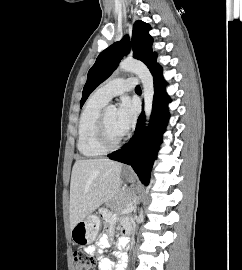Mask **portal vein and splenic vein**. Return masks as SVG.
Returning <instances> with one entry per match:
<instances>
[{"label":"portal vein and splenic vein","mask_w":242,"mask_h":270,"mask_svg":"<svg viewBox=\"0 0 242 270\" xmlns=\"http://www.w3.org/2000/svg\"><path fill=\"white\" fill-rule=\"evenodd\" d=\"M133 209H134V206H133V205H130V206H128L126 209H124V210L122 211V213L131 212Z\"/></svg>","instance_id":"obj_1"}]
</instances>
